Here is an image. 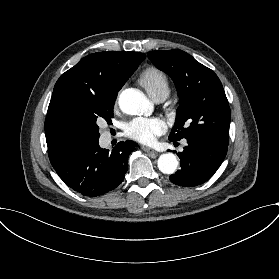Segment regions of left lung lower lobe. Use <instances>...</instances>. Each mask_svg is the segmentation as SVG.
Masks as SVG:
<instances>
[{
	"mask_svg": "<svg viewBox=\"0 0 279 279\" xmlns=\"http://www.w3.org/2000/svg\"><path fill=\"white\" fill-rule=\"evenodd\" d=\"M186 140L188 145L183 152L177 153L181 169L169 179L176 185L193 187L204 183L217 171L226 156L228 141L210 136Z\"/></svg>",
	"mask_w": 279,
	"mask_h": 279,
	"instance_id": "0a47b994",
	"label": "left lung lower lobe"
}]
</instances>
